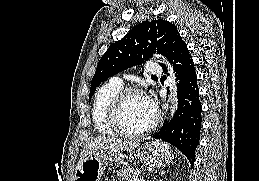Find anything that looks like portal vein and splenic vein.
Listing matches in <instances>:
<instances>
[{
  "label": "portal vein and splenic vein",
  "instance_id": "18ae733b",
  "mask_svg": "<svg viewBox=\"0 0 259 181\" xmlns=\"http://www.w3.org/2000/svg\"><path fill=\"white\" fill-rule=\"evenodd\" d=\"M130 181H142V180H139L138 178H133V180L131 179Z\"/></svg>",
  "mask_w": 259,
  "mask_h": 181
}]
</instances>
